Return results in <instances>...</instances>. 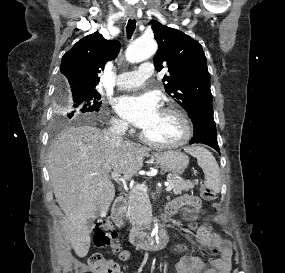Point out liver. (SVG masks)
<instances>
[{"label": "liver", "instance_id": "liver-1", "mask_svg": "<svg viewBox=\"0 0 285 273\" xmlns=\"http://www.w3.org/2000/svg\"><path fill=\"white\" fill-rule=\"evenodd\" d=\"M149 149L132 142L116 143L92 126H69L52 142L48 170L54 195L65 213L66 235L78 257L90 248L87 221L99 211L106 215L115 197L109 172L131 179L143 166Z\"/></svg>", "mask_w": 285, "mask_h": 273}]
</instances>
